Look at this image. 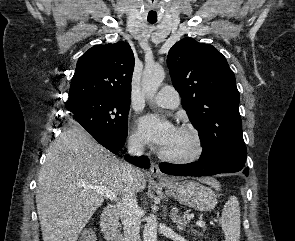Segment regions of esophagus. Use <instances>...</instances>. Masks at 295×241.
I'll return each instance as SVG.
<instances>
[{"instance_id": "1", "label": "esophagus", "mask_w": 295, "mask_h": 241, "mask_svg": "<svg viewBox=\"0 0 295 241\" xmlns=\"http://www.w3.org/2000/svg\"><path fill=\"white\" fill-rule=\"evenodd\" d=\"M151 174L152 176L158 178V179H166L167 177L160 171L159 166L157 163H152L151 165Z\"/></svg>"}]
</instances>
